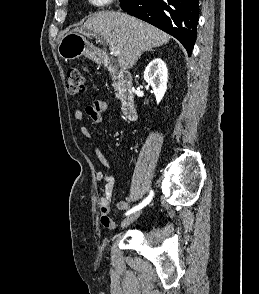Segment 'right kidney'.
Listing matches in <instances>:
<instances>
[{
	"instance_id": "right-kidney-1",
	"label": "right kidney",
	"mask_w": 259,
	"mask_h": 294,
	"mask_svg": "<svg viewBox=\"0 0 259 294\" xmlns=\"http://www.w3.org/2000/svg\"><path fill=\"white\" fill-rule=\"evenodd\" d=\"M144 79L151 85L159 103L167 90L168 70L164 61L160 58L153 59L144 71Z\"/></svg>"
}]
</instances>
